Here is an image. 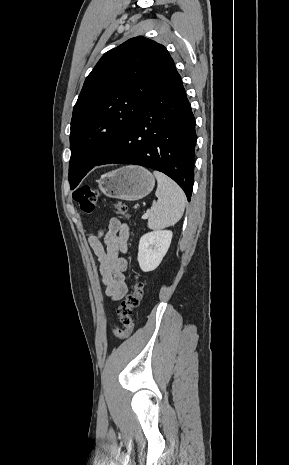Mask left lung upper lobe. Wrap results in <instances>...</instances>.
I'll list each match as a JSON object with an SVG mask.
<instances>
[{"instance_id":"obj_1","label":"left lung upper lobe","mask_w":289,"mask_h":465,"mask_svg":"<svg viewBox=\"0 0 289 465\" xmlns=\"http://www.w3.org/2000/svg\"><path fill=\"white\" fill-rule=\"evenodd\" d=\"M175 72L166 48L142 36L101 57L85 79L73 109L71 189L112 149L147 96Z\"/></svg>"}]
</instances>
